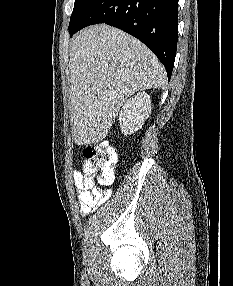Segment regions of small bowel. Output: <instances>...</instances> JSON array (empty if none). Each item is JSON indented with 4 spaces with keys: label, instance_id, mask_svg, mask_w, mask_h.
Returning a JSON list of instances; mask_svg holds the SVG:
<instances>
[{
    "label": "small bowel",
    "instance_id": "small-bowel-1",
    "mask_svg": "<svg viewBox=\"0 0 233 286\" xmlns=\"http://www.w3.org/2000/svg\"><path fill=\"white\" fill-rule=\"evenodd\" d=\"M90 165L87 161L82 163L83 173L74 171L72 181L77 190L79 209L83 215L95 210L108 198V192L94 187L93 176L89 173Z\"/></svg>",
    "mask_w": 233,
    "mask_h": 286
}]
</instances>
